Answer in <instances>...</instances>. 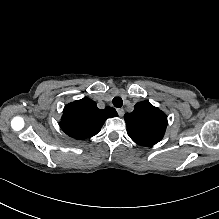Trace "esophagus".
Returning a JSON list of instances; mask_svg holds the SVG:
<instances>
[{
	"label": "esophagus",
	"mask_w": 219,
	"mask_h": 219,
	"mask_svg": "<svg viewBox=\"0 0 219 219\" xmlns=\"http://www.w3.org/2000/svg\"><path fill=\"white\" fill-rule=\"evenodd\" d=\"M117 113H118V115H119L120 117H122V116L124 115V109L118 108V109H117Z\"/></svg>",
	"instance_id": "obj_1"
}]
</instances>
